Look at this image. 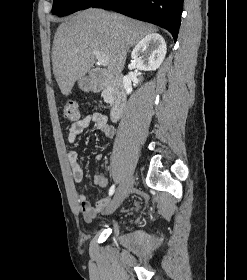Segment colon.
Instances as JSON below:
<instances>
[{
	"label": "colon",
	"instance_id": "5ec220e1",
	"mask_svg": "<svg viewBox=\"0 0 247 280\" xmlns=\"http://www.w3.org/2000/svg\"><path fill=\"white\" fill-rule=\"evenodd\" d=\"M64 116L70 120H77L79 117L78 105L75 101H68L64 106Z\"/></svg>",
	"mask_w": 247,
	"mask_h": 280
}]
</instances>
